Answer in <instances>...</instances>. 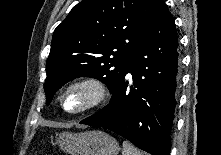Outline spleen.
Here are the masks:
<instances>
[{"mask_svg": "<svg viewBox=\"0 0 221 155\" xmlns=\"http://www.w3.org/2000/svg\"><path fill=\"white\" fill-rule=\"evenodd\" d=\"M122 155H142V153L130 142L124 141Z\"/></svg>", "mask_w": 221, "mask_h": 155, "instance_id": "1", "label": "spleen"}]
</instances>
